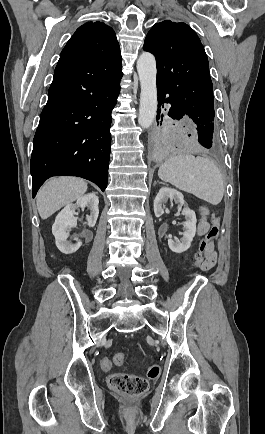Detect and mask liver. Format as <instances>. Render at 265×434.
I'll return each instance as SVG.
<instances>
[{
  "label": "liver",
  "instance_id": "liver-1",
  "mask_svg": "<svg viewBox=\"0 0 265 434\" xmlns=\"http://www.w3.org/2000/svg\"><path fill=\"white\" fill-rule=\"evenodd\" d=\"M87 192V184L81 178H50L37 194V210L42 220L54 212L72 204Z\"/></svg>",
  "mask_w": 265,
  "mask_h": 434
}]
</instances>
